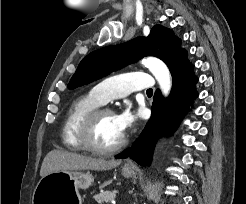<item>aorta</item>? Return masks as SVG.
<instances>
[{"label": "aorta", "mask_w": 246, "mask_h": 204, "mask_svg": "<svg viewBox=\"0 0 246 204\" xmlns=\"http://www.w3.org/2000/svg\"><path fill=\"white\" fill-rule=\"evenodd\" d=\"M142 64L149 69L153 74L157 82L159 83L160 89L164 95H168L171 86L172 79L168 67L160 59L155 57H147L142 60Z\"/></svg>", "instance_id": "1"}]
</instances>
